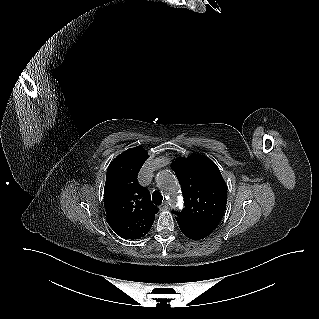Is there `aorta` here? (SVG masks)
I'll use <instances>...</instances> for the list:
<instances>
[{
	"label": "aorta",
	"mask_w": 319,
	"mask_h": 319,
	"mask_svg": "<svg viewBox=\"0 0 319 319\" xmlns=\"http://www.w3.org/2000/svg\"><path fill=\"white\" fill-rule=\"evenodd\" d=\"M157 184L166 192L170 198L172 207L177 204V185L175 183L174 175L168 170L160 171L156 176Z\"/></svg>",
	"instance_id": "1"
}]
</instances>
